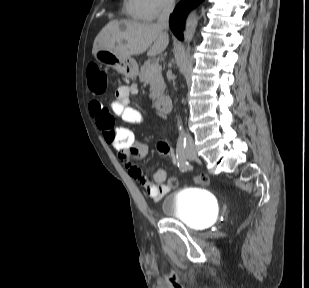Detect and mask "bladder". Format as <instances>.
<instances>
[{
    "label": "bladder",
    "mask_w": 309,
    "mask_h": 288,
    "mask_svg": "<svg viewBox=\"0 0 309 288\" xmlns=\"http://www.w3.org/2000/svg\"><path fill=\"white\" fill-rule=\"evenodd\" d=\"M164 218H176L193 229L208 227L215 219L216 204L209 192L185 187L167 193L161 203Z\"/></svg>",
    "instance_id": "bladder-1"
}]
</instances>
